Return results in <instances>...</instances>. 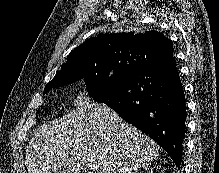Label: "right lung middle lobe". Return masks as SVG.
<instances>
[{"label":"right lung middle lobe","mask_w":219,"mask_h":173,"mask_svg":"<svg viewBox=\"0 0 219 173\" xmlns=\"http://www.w3.org/2000/svg\"><path fill=\"white\" fill-rule=\"evenodd\" d=\"M136 68L132 63H115L103 65L88 74L63 73L52 84L46 86L44 92L65 84L84 79L88 94L97 102L105 103L120 81Z\"/></svg>","instance_id":"1"}]
</instances>
